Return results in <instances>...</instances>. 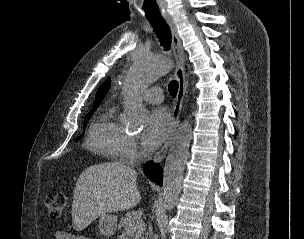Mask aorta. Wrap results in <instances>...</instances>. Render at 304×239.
I'll list each match as a JSON object with an SVG mask.
<instances>
[{
  "mask_svg": "<svg viewBox=\"0 0 304 239\" xmlns=\"http://www.w3.org/2000/svg\"><path fill=\"white\" fill-rule=\"evenodd\" d=\"M170 61L165 57L143 55L134 60L125 82L124 120L133 125L144 122L147 112L138 98V93L160 77L168 73ZM192 127L184 121L178 128L165 160L163 175V208L171 210L177 203L181 189L183 172L191 141Z\"/></svg>",
  "mask_w": 304,
  "mask_h": 239,
  "instance_id": "762f6f07",
  "label": "aorta"
}]
</instances>
